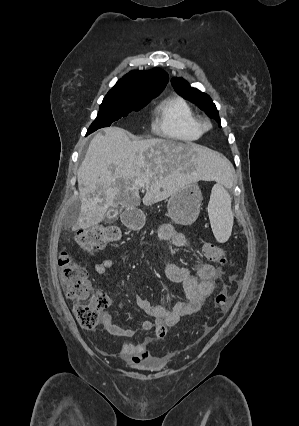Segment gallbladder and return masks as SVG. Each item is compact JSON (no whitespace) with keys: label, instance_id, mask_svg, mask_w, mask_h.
Masks as SVG:
<instances>
[{"label":"gallbladder","instance_id":"gallbladder-1","mask_svg":"<svg viewBox=\"0 0 299 426\" xmlns=\"http://www.w3.org/2000/svg\"><path fill=\"white\" fill-rule=\"evenodd\" d=\"M118 210L117 209H111L108 213V215L105 217L107 222H112L117 218Z\"/></svg>","mask_w":299,"mask_h":426}]
</instances>
